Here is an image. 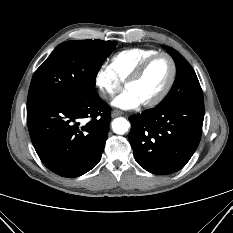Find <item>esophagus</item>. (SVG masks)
I'll list each match as a JSON object with an SVG mask.
<instances>
[{
	"mask_svg": "<svg viewBox=\"0 0 233 233\" xmlns=\"http://www.w3.org/2000/svg\"><path fill=\"white\" fill-rule=\"evenodd\" d=\"M122 114H123V112L120 111V110H117V109H115V110H113V111L111 112L112 117L121 116Z\"/></svg>",
	"mask_w": 233,
	"mask_h": 233,
	"instance_id": "esophagus-1",
	"label": "esophagus"
}]
</instances>
